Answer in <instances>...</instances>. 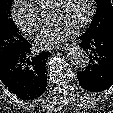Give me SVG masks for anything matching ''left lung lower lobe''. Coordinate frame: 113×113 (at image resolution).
I'll use <instances>...</instances> for the list:
<instances>
[{
  "instance_id": "left-lung-lower-lobe-1",
  "label": "left lung lower lobe",
  "mask_w": 113,
  "mask_h": 113,
  "mask_svg": "<svg viewBox=\"0 0 113 113\" xmlns=\"http://www.w3.org/2000/svg\"><path fill=\"white\" fill-rule=\"evenodd\" d=\"M80 47L89 54V64L77 73L80 85L90 92H101L113 84V30L84 33Z\"/></svg>"
}]
</instances>
